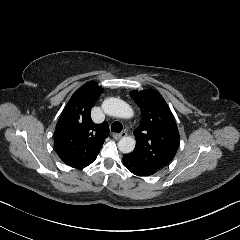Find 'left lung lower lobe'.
Here are the masks:
<instances>
[{
	"mask_svg": "<svg viewBox=\"0 0 240 240\" xmlns=\"http://www.w3.org/2000/svg\"><path fill=\"white\" fill-rule=\"evenodd\" d=\"M123 163L130 172H132L137 176H149L156 172V171L147 170L140 166H134L129 161H127V159H125L124 157H123Z\"/></svg>",
	"mask_w": 240,
	"mask_h": 240,
	"instance_id": "0a47b994",
	"label": "left lung lower lobe"
}]
</instances>
